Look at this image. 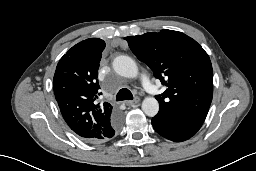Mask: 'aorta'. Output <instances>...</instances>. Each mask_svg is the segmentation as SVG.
I'll return each mask as SVG.
<instances>
[{
	"mask_svg": "<svg viewBox=\"0 0 256 171\" xmlns=\"http://www.w3.org/2000/svg\"><path fill=\"white\" fill-rule=\"evenodd\" d=\"M114 71L126 78H134L138 75V67L135 61L126 55L118 56L113 61ZM143 112L154 117L159 111V103L154 97H146L142 102Z\"/></svg>",
	"mask_w": 256,
	"mask_h": 171,
	"instance_id": "obj_1",
	"label": "aorta"
}]
</instances>
